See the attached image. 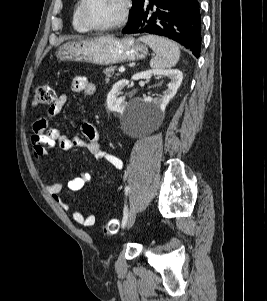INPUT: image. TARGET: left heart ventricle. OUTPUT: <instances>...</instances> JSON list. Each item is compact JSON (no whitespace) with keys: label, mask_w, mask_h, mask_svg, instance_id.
<instances>
[{"label":"left heart ventricle","mask_w":267,"mask_h":301,"mask_svg":"<svg viewBox=\"0 0 267 301\" xmlns=\"http://www.w3.org/2000/svg\"><path fill=\"white\" fill-rule=\"evenodd\" d=\"M122 11V0H89L87 17L94 25L115 22Z\"/></svg>","instance_id":"obj_1"}]
</instances>
